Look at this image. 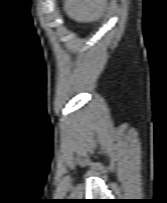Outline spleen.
Wrapping results in <instances>:
<instances>
[{
	"label": "spleen",
	"mask_w": 167,
	"mask_h": 203,
	"mask_svg": "<svg viewBox=\"0 0 167 203\" xmlns=\"http://www.w3.org/2000/svg\"><path fill=\"white\" fill-rule=\"evenodd\" d=\"M106 0H65L64 10L77 22L98 21L106 10Z\"/></svg>",
	"instance_id": "spleen-1"
}]
</instances>
